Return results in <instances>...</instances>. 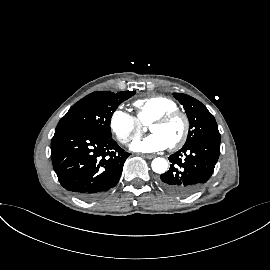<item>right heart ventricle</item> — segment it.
<instances>
[{
    "instance_id": "1",
    "label": "right heart ventricle",
    "mask_w": 270,
    "mask_h": 270,
    "mask_svg": "<svg viewBox=\"0 0 270 270\" xmlns=\"http://www.w3.org/2000/svg\"><path fill=\"white\" fill-rule=\"evenodd\" d=\"M134 106L137 109V118L142 124H149L160 115L179 109L174 100L162 95L138 99Z\"/></svg>"
}]
</instances>
